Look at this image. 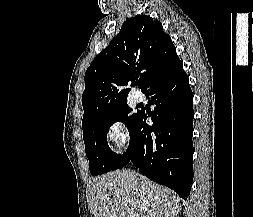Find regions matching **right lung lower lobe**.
I'll return each mask as SVG.
<instances>
[{
  "mask_svg": "<svg viewBox=\"0 0 253 217\" xmlns=\"http://www.w3.org/2000/svg\"><path fill=\"white\" fill-rule=\"evenodd\" d=\"M155 105L148 115L141 111L129 133L126 152L112 170L132 162L143 175L174 190L187 200L193 182V93L181 61L158 77L144 92Z\"/></svg>",
  "mask_w": 253,
  "mask_h": 217,
  "instance_id": "1",
  "label": "right lung lower lobe"
}]
</instances>
